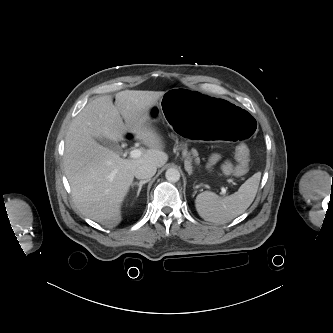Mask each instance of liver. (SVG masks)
I'll return each mask as SVG.
<instances>
[{
	"mask_svg": "<svg viewBox=\"0 0 333 333\" xmlns=\"http://www.w3.org/2000/svg\"><path fill=\"white\" fill-rule=\"evenodd\" d=\"M163 94L125 90L117 93L114 101L111 96L98 97L70 124L65 138L64 171L73 202L86 217L109 228L117 226L136 168L142 164L160 168L168 161L161 149V137L150 125V110ZM128 132L149 147L142 157L123 159L96 141H122Z\"/></svg>",
	"mask_w": 333,
	"mask_h": 333,
	"instance_id": "obj_1",
	"label": "liver"
}]
</instances>
